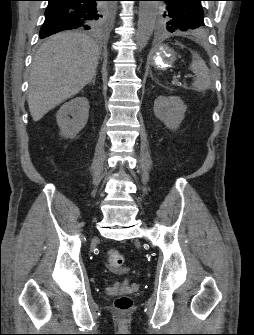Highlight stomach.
Instances as JSON below:
<instances>
[{
  "instance_id": "obj_1",
  "label": "stomach",
  "mask_w": 254,
  "mask_h": 335,
  "mask_svg": "<svg viewBox=\"0 0 254 335\" xmlns=\"http://www.w3.org/2000/svg\"><path fill=\"white\" fill-rule=\"evenodd\" d=\"M176 60V53L173 49L166 45L159 46L150 56L151 64L160 70H165L172 67Z\"/></svg>"
}]
</instances>
